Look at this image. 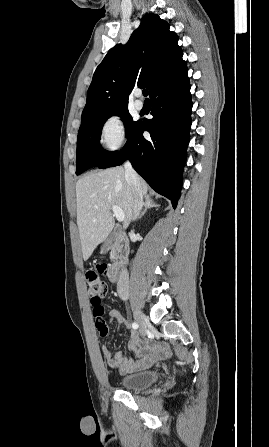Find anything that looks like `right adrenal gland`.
<instances>
[{
	"mask_svg": "<svg viewBox=\"0 0 269 447\" xmlns=\"http://www.w3.org/2000/svg\"><path fill=\"white\" fill-rule=\"evenodd\" d=\"M150 208H159L157 204H155L154 200H152L151 196H146L145 204H144V210L141 212L140 216H138L137 220H141L142 216L146 214L147 210H150Z\"/></svg>",
	"mask_w": 269,
	"mask_h": 447,
	"instance_id": "2a0ac1e0",
	"label": "right adrenal gland"
}]
</instances>
